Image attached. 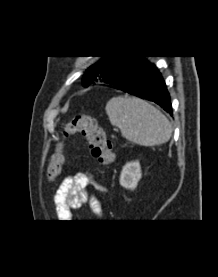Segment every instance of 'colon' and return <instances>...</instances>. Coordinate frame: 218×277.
Here are the masks:
<instances>
[{
	"label": "colon",
	"instance_id": "colon-1",
	"mask_svg": "<svg viewBox=\"0 0 218 277\" xmlns=\"http://www.w3.org/2000/svg\"><path fill=\"white\" fill-rule=\"evenodd\" d=\"M75 133H80L89 146L91 155L99 164L108 165L113 162L115 154L111 142L106 138L103 129L96 119L88 114H78L73 117L64 128V135L68 137ZM62 155L57 151L48 167L50 177H56L60 173Z\"/></svg>",
	"mask_w": 218,
	"mask_h": 277
}]
</instances>
